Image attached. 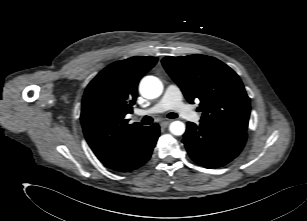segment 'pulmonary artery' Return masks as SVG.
Instances as JSON below:
<instances>
[{
  "instance_id": "pulmonary-artery-1",
  "label": "pulmonary artery",
  "mask_w": 307,
  "mask_h": 221,
  "mask_svg": "<svg viewBox=\"0 0 307 221\" xmlns=\"http://www.w3.org/2000/svg\"><path fill=\"white\" fill-rule=\"evenodd\" d=\"M168 110H174L180 116L193 121H198L200 116L183 103V96L180 88L177 85H169L162 98L151 108L147 110H137L139 116L160 114Z\"/></svg>"
}]
</instances>
